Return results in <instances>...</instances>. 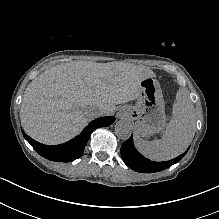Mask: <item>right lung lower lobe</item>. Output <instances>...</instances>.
<instances>
[{
	"mask_svg": "<svg viewBox=\"0 0 219 219\" xmlns=\"http://www.w3.org/2000/svg\"><path fill=\"white\" fill-rule=\"evenodd\" d=\"M114 117H100L89 123L84 128L82 133L72 140L57 146H48L36 142L32 138L22 131L24 138L32 145V147L44 158L59 161V162H70L83 155L85 145L91 135V133L99 127L110 126L114 122Z\"/></svg>",
	"mask_w": 219,
	"mask_h": 219,
	"instance_id": "98d812e1",
	"label": "right lung lower lobe"
}]
</instances>
